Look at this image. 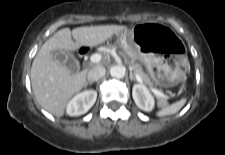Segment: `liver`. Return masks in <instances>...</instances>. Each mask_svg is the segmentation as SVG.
Returning a JSON list of instances; mask_svg holds the SVG:
<instances>
[{"label":"liver","mask_w":225,"mask_h":155,"mask_svg":"<svg viewBox=\"0 0 225 155\" xmlns=\"http://www.w3.org/2000/svg\"><path fill=\"white\" fill-rule=\"evenodd\" d=\"M126 29L123 25H102L57 31L42 45L31 67V86L39 105L52 115L62 117L68 101L86 83V71L72 74L67 67L53 59L51 51L93 48Z\"/></svg>","instance_id":"obj_1"}]
</instances>
